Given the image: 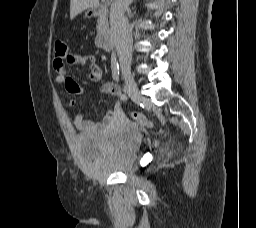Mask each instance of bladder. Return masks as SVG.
<instances>
[{
	"label": "bladder",
	"instance_id": "bladder-1",
	"mask_svg": "<svg viewBox=\"0 0 256 228\" xmlns=\"http://www.w3.org/2000/svg\"><path fill=\"white\" fill-rule=\"evenodd\" d=\"M142 139L140 130L129 125L98 137L81 134L75 140V149L87 164L88 172L94 178H104L110 174H129L135 169Z\"/></svg>",
	"mask_w": 256,
	"mask_h": 228
}]
</instances>
